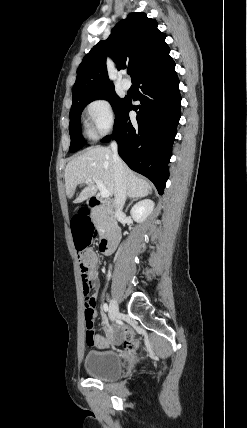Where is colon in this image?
<instances>
[{
    "label": "colon",
    "instance_id": "obj_1",
    "mask_svg": "<svg viewBox=\"0 0 247 428\" xmlns=\"http://www.w3.org/2000/svg\"><path fill=\"white\" fill-rule=\"evenodd\" d=\"M77 211L71 212L70 220L71 224V237L73 239V246L77 247L78 258L80 262L81 278L83 282V294L86 298L85 301V332L88 341L94 340V316L95 308L87 301L90 292L91 285L95 278L94 267L89 263L86 255L82 253L83 247L87 246V239H93L94 237V224L92 217H89L88 212L82 211V206H77ZM128 335L125 339L124 345L128 349H134L138 346V341L130 336V330L126 329Z\"/></svg>",
    "mask_w": 247,
    "mask_h": 428
}]
</instances>
